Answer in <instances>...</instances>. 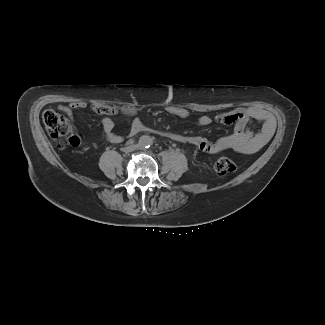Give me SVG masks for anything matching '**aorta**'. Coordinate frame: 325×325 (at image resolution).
<instances>
[{
    "mask_svg": "<svg viewBox=\"0 0 325 325\" xmlns=\"http://www.w3.org/2000/svg\"><path fill=\"white\" fill-rule=\"evenodd\" d=\"M139 146L141 148H149L152 143H153V140L150 136L148 135H142L140 138H139Z\"/></svg>",
    "mask_w": 325,
    "mask_h": 325,
    "instance_id": "762f6f07",
    "label": "aorta"
}]
</instances>
